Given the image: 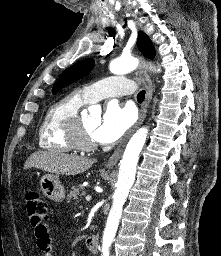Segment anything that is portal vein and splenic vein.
Wrapping results in <instances>:
<instances>
[{
    "mask_svg": "<svg viewBox=\"0 0 221 256\" xmlns=\"http://www.w3.org/2000/svg\"><path fill=\"white\" fill-rule=\"evenodd\" d=\"M91 200V196L90 195H87L86 196V201H90Z\"/></svg>",
    "mask_w": 221,
    "mask_h": 256,
    "instance_id": "1",
    "label": "portal vein and splenic vein"
}]
</instances>
